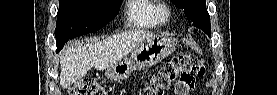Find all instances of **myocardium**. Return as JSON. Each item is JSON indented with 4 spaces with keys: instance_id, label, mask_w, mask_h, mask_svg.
<instances>
[{
    "instance_id": "1",
    "label": "myocardium",
    "mask_w": 277,
    "mask_h": 95,
    "mask_svg": "<svg viewBox=\"0 0 277 95\" xmlns=\"http://www.w3.org/2000/svg\"><path fill=\"white\" fill-rule=\"evenodd\" d=\"M170 15V8L163 2L156 4L151 11L153 20L158 23H165L169 20Z\"/></svg>"
}]
</instances>
